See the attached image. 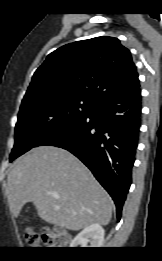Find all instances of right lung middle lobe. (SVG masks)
<instances>
[{
    "label": "right lung middle lobe",
    "instance_id": "right-lung-middle-lobe-1",
    "mask_svg": "<svg viewBox=\"0 0 162 261\" xmlns=\"http://www.w3.org/2000/svg\"><path fill=\"white\" fill-rule=\"evenodd\" d=\"M95 101L75 95L34 97L22 101L10 162L53 130L87 115Z\"/></svg>",
    "mask_w": 162,
    "mask_h": 261
}]
</instances>
